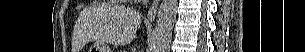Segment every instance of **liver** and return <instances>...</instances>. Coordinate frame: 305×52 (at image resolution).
I'll return each mask as SVG.
<instances>
[{
    "mask_svg": "<svg viewBox=\"0 0 305 52\" xmlns=\"http://www.w3.org/2000/svg\"><path fill=\"white\" fill-rule=\"evenodd\" d=\"M86 14L85 29L88 39L113 45H127L136 38L141 23V14L121 5H109L93 12V18ZM91 24V25H90Z\"/></svg>",
    "mask_w": 305,
    "mask_h": 52,
    "instance_id": "1",
    "label": "liver"
}]
</instances>
